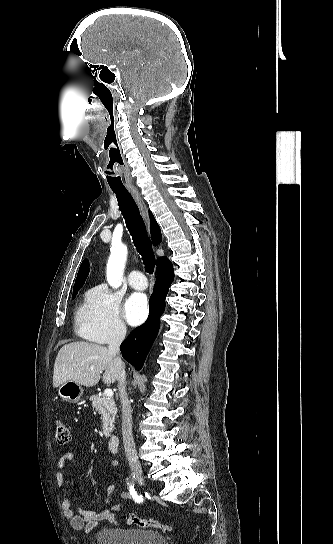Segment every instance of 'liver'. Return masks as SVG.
<instances>
[{"label":"liver","instance_id":"liver-1","mask_svg":"<svg viewBox=\"0 0 333 544\" xmlns=\"http://www.w3.org/2000/svg\"><path fill=\"white\" fill-rule=\"evenodd\" d=\"M125 364L119 363L109 349L94 343L77 341L64 345L58 352L53 373V386L59 387L66 381H73L86 387L96 385L103 371L105 384L118 379L119 370Z\"/></svg>","mask_w":333,"mask_h":544}]
</instances>
